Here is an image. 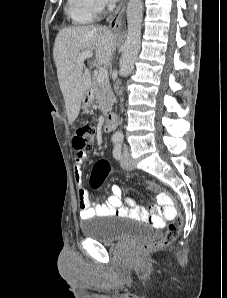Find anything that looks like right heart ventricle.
Returning <instances> with one entry per match:
<instances>
[{
    "label": "right heart ventricle",
    "instance_id": "e07e8e85",
    "mask_svg": "<svg viewBox=\"0 0 227 298\" xmlns=\"http://www.w3.org/2000/svg\"><path fill=\"white\" fill-rule=\"evenodd\" d=\"M66 11L72 19L79 23H88L94 18V16L84 9L77 0H68Z\"/></svg>",
    "mask_w": 227,
    "mask_h": 298
}]
</instances>
